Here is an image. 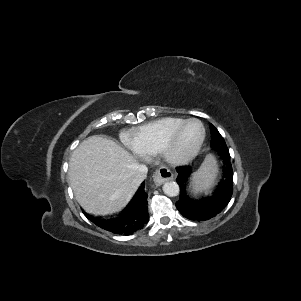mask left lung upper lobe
<instances>
[{
    "mask_svg": "<svg viewBox=\"0 0 301 301\" xmlns=\"http://www.w3.org/2000/svg\"><path fill=\"white\" fill-rule=\"evenodd\" d=\"M210 131H211V147L215 151H219V145L223 147H227L224 141V138L218 132V130L210 123ZM217 143V144H216Z\"/></svg>",
    "mask_w": 301,
    "mask_h": 301,
    "instance_id": "left-lung-upper-lobe-1",
    "label": "left lung upper lobe"
}]
</instances>
